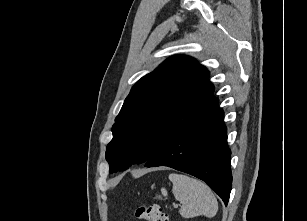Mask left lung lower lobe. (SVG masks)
Segmentation results:
<instances>
[{"label": "left lung lower lobe", "mask_w": 307, "mask_h": 221, "mask_svg": "<svg viewBox=\"0 0 307 221\" xmlns=\"http://www.w3.org/2000/svg\"><path fill=\"white\" fill-rule=\"evenodd\" d=\"M223 117L217 102L171 138L145 166H168L193 175L208 184L227 205L232 187L231 151Z\"/></svg>", "instance_id": "left-lung-lower-lobe-1"}]
</instances>
